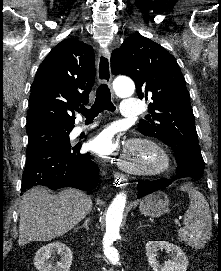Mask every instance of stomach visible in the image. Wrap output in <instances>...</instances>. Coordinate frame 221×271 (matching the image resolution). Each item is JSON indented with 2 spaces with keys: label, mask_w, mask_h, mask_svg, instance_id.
Returning a JSON list of instances; mask_svg holds the SVG:
<instances>
[{
  "label": "stomach",
  "mask_w": 221,
  "mask_h": 271,
  "mask_svg": "<svg viewBox=\"0 0 221 271\" xmlns=\"http://www.w3.org/2000/svg\"><path fill=\"white\" fill-rule=\"evenodd\" d=\"M169 197L164 191H154L140 201L139 209L149 217H160L170 211Z\"/></svg>",
  "instance_id": "obj_1"
}]
</instances>
